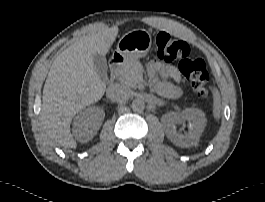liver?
I'll use <instances>...</instances> for the list:
<instances>
[{"label": "liver", "instance_id": "liver-1", "mask_svg": "<svg viewBox=\"0 0 265 202\" xmlns=\"http://www.w3.org/2000/svg\"><path fill=\"white\" fill-rule=\"evenodd\" d=\"M94 24L89 33L55 56L43 88L41 120L48 136L66 148L77 147L70 125L86 106L99 101L106 84L95 70L93 55L106 56L118 34Z\"/></svg>", "mask_w": 265, "mask_h": 202}]
</instances>
